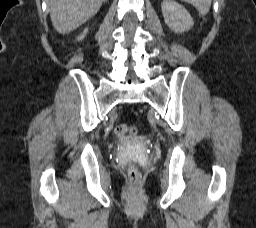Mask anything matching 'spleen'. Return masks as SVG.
<instances>
[{
    "label": "spleen",
    "instance_id": "obj_1",
    "mask_svg": "<svg viewBox=\"0 0 256 228\" xmlns=\"http://www.w3.org/2000/svg\"><path fill=\"white\" fill-rule=\"evenodd\" d=\"M183 2H187L192 4L201 15H206L211 6L212 0H182Z\"/></svg>",
    "mask_w": 256,
    "mask_h": 228
}]
</instances>
